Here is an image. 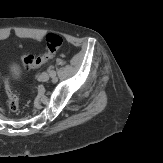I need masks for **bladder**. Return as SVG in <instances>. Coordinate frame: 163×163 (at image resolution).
I'll return each mask as SVG.
<instances>
[{
  "instance_id": "obj_1",
  "label": "bladder",
  "mask_w": 163,
  "mask_h": 163,
  "mask_svg": "<svg viewBox=\"0 0 163 163\" xmlns=\"http://www.w3.org/2000/svg\"><path fill=\"white\" fill-rule=\"evenodd\" d=\"M9 75L14 81H22L23 72L21 68L17 65H12L9 69Z\"/></svg>"
}]
</instances>
